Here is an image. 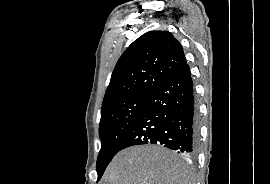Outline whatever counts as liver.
Segmentation results:
<instances>
[{"label":"liver","instance_id":"liver-1","mask_svg":"<svg viewBox=\"0 0 270 184\" xmlns=\"http://www.w3.org/2000/svg\"><path fill=\"white\" fill-rule=\"evenodd\" d=\"M185 166L163 147L139 145L117 153L101 184H190Z\"/></svg>","mask_w":270,"mask_h":184}]
</instances>
